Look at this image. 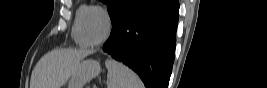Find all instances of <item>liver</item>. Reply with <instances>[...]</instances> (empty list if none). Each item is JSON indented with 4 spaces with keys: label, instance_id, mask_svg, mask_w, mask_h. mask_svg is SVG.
Wrapping results in <instances>:
<instances>
[{
    "label": "liver",
    "instance_id": "6515ba94",
    "mask_svg": "<svg viewBox=\"0 0 267 88\" xmlns=\"http://www.w3.org/2000/svg\"><path fill=\"white\" fill-rule=\"evenodd\" d=\"M92 51L61 49L45 54L32 71L30 88H61Z\"/></svg>",
    "mask_w": 267,
    "mask_h": 88
}]
</instances>
